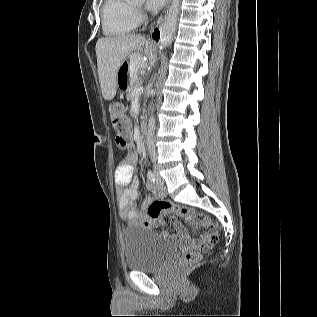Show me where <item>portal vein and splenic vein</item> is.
Returning <instances> with one entry per match:
<instances>
[{
    "mask_svg": "<svg viewBox=\"0 0 317 317\" xmlns=\"http://www.w3.org/2000/svg\"><path fill=\"white\" fill-rule=\"evenodd\" d=\"M142 92H143V87L139 86L134 88L132 94L135 96H139Z\"/></svg>",
    "mask_w": 317,
    "mask_h": 317,
    "instance_id": "obj_1",
    "label": "portal vein and splenic vein"
}]
</instances>
